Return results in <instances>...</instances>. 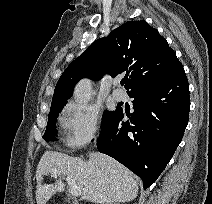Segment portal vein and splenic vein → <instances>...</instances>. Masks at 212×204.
I'll return each instance as SVG.
<instances>
[{
  "label": "portal vein and splenic vein",
  "mask_w": 212,
  "mask_h": 204,
  "mask_svg": "<svg viewBox=\"0 0 212 204\" xmlns=\"http://www.w3.org/2000/svg\"><path fill=\"white\" fill-rule=\"evenodd\" d=\"M52 176H56L58 174V171L56 169L51 171ZM66 181L70 187V193L74 197H78L81 195V190L76 185L75 181L71 179L70 177H66Z\"/></svg>",
  "instance_id": "18ae733b"
}]
</instances>
